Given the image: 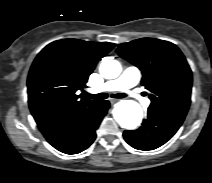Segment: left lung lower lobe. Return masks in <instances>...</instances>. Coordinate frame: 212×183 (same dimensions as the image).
Here are the masks:
<instances>
[{
  "label": "left lung lower lobe",
  "instance_id": "left-lung-lower-lobe-1",
  "mask_svg": "<svg viewBox=\"0 0 212 183\" xmlns=\"http://www.w3.org/2000/svg\"><path fill=\"white\" fill-rule=\"evenodd\" d=\"M185 116L148 108L147 118L134 131H125L124 139L138 150H153L166 143L179 129Z\"/></svg>",
  "mask_w": 212,
  "mask_h": 183
}]
</instances>
